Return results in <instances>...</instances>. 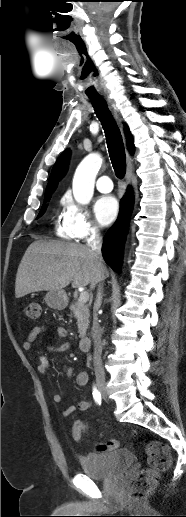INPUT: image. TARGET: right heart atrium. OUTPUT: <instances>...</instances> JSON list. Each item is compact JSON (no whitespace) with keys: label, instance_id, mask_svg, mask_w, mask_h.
<instances>
[{"label":"right heart atrium","instance_id":"1","mask_svg":"<svg viewBox=\"0 0 186 517\" xmlns=\"http://www.w3.org/2000/svg\"><path fill=\"white\" fill-rule=\"evenodd\" d=\"M62 221L69 234L78 241H88L100 234V228L83 206L66 195L61 200Z\"/></svg>","mask_w":186,"mask_h":517}]
</instances>
